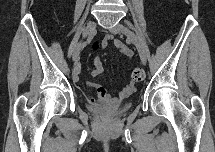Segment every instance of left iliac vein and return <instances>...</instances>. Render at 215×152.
<instances>
[{"mask_svg": "<svg viewBox=\"0 0 215 152\" xmlns=\"http://www.w3.org/2000/svg\"><path fill=\"white\" fill-rule=\"evenodd\" d=\"M110 32L113 34H120V33L124 34L127 37V39L136 47L139 53L141 62L143 64L146 63V54H145V50L143 48L142 42L129 27L123 24H117L116 26L110 28Z\"/></svg>", "mask_w": 215, "mask_h": 152, "instance_id": "obj_1", "label": "left iliac vein"}]
</instances>
